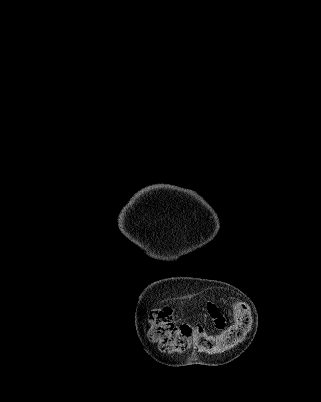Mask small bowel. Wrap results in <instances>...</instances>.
<instances>
[{"label":"small bowel","mask_w":321,"mask_h":402,"mask_svg":"<svg viewBox=\"0 0 321 402\" xmlns=\"http://www.w3.org/2000/svg\"><path fill=\"white\" fill-rule=\"evenodd\" d=\"M206 311L217 329L221 330L225 328L226 318L214 302L206 303Z\"/></svg>","instance_id":"c3829d8e"}]
</instances>
